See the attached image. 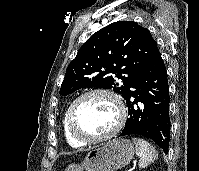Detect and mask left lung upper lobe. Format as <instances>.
I'll use <instances>...</instances> for the list:
<instances>
[{
	"mask_svg": "<svg viewBox=\"0 0 199 171\" xmlns=\"http://www.w3.org/2000/svg\"><path fill=\"white\" fill-rule=\"evenodd\" d=\"M156 50L157 43L148 29L133 21L111 23L81 46L66 69L60 94L67 96L80 88L97 87L112 89L124 98Z\"/></svg>",
	"mask_w": 199,
	"mask_h": 171,
	"instance_id": "5c2ea615",
	"label": "left lung upper lobe"
}]
</instances>
